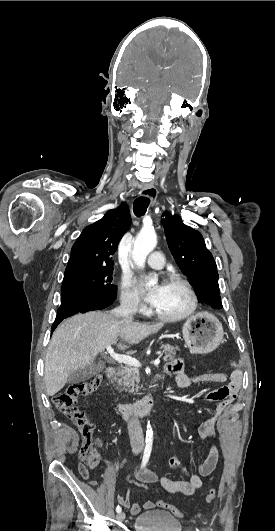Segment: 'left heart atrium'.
Wrapping results in <instances>:
<instances>
[{
    "instance_id": "39dd6f15",
    "label": "left heart atrium",
    "mask_w": 275,
    "mask_h": 531,
    "mask_svg": "<svg viewBox=\"0 0 275 531\" xmlns=\"http://www.w3.org/2000/svg\"><path fill=\"white\" fill-rule=\"evenodd\" d=\"M161 286L162 285H158L147 293V300L153 305L157 302L161 291Z\"/></svg>"
}]
</instances>
